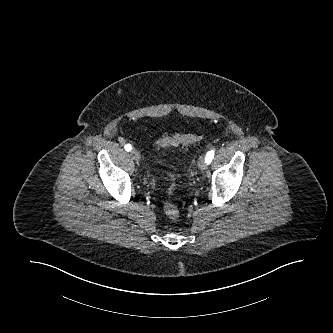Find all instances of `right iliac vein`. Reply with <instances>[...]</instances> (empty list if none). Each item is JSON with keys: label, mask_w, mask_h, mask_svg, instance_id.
I'll list each match as a JSON object with an SVG mask.
<instances>
[{"label": "right iliac vein", "mask_w": 333, "mask_h": 333, "mask_svg": "<svg viewBox=\"0 0 333 333\" xmlns=\"http://www.w3.org/2000/svg\"><path fill=\"white\" fill-rule=\"evenodd\" d=\"M130 155L135 161H139L141 158L140 153L135 149L130 152Z\"/></svg>", "instance_id": "obj_1"}]
</instances>
